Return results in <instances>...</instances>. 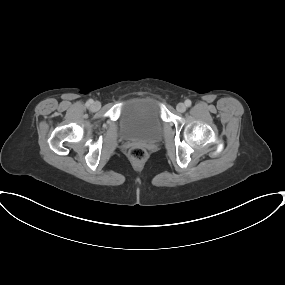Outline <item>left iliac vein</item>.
Returning a JSON list of instances; mask_svg holds the SVG:
<instances>
[{"label":"left iliac vein","mask_w":285,"mask_h":285,"mask_svg":"<svg viewBox=\"0 0 285 285\" xmlns=\"http://www.w3.org/2000/svg\"><path fill=\"white\" fill-rule=\"evenodd\" d=\"M176 109L178 112L183 113L186 111V105L184 103H178Z\"/></svg>","instance_id":"left-iliac-vein-1"}]
</instances>
